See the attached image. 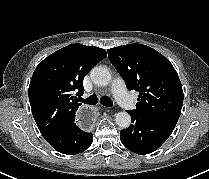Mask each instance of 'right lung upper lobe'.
Segmentation results:
<instances>
[{
	"mask_svg": "<svg viewBox=\"0 0 209 179\" xmlns=\"http://www.w3.org/2000/svg\"><path fill=\"white\" fill-rule=\"evenodd\" d=\"M106 56L104 49L71 44L36 67L28 94L33 117L45 139L74 121L81 103L73 93L83 94L84 76Z\"/></svg>",
	"mask_w": 209,
	"mask_h": 179,
	"instance_id": "1",
	"label": "right lung upper lobe"
}]
</instances>
